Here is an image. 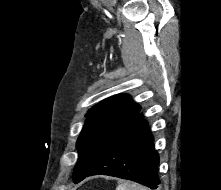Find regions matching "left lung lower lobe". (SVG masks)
Listing matches in <instances>:
<instances>
[{
  "label": "left lung lower lobe",
  "mask_w": 221,
  "mask_h": 190,
  "mask_svg": "<svg viewBox=\"0 0 221 190\" xmlns=\"http://www.w3.org/2000/svg\"><path fill=\"white\" fill-rule=\"evenodd\" d=\"M159 156L148 122L138 113L112 139L92 169L75 183L92 175L129 179L152 189L158 188Z\"/></svg>",
  "instance_id": "left-lung-lower-lobe-1"
}]
</instances>
